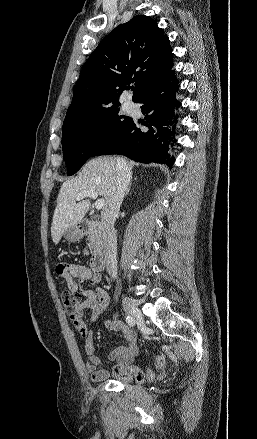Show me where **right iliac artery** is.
I'll return each mask as SVG.
<instances>
[{
	"instance_id": "1",
	"label": "right iliac artery",
	"mask_w": 257,
	"mask_h": 439,
	"mask_svg": "<svg viewBox=\"0 0 257 439\" xmlns=\"http://www.w3.org/2000/svg\"><path fill=\"white\" fill-rule=\"evenodd\" d=\"M126 322H127L128 325H130V326H134V325H135V320H134V318L131 317V316H127V317H126Z\"/></svg>"
}]
</instances>
